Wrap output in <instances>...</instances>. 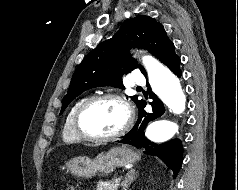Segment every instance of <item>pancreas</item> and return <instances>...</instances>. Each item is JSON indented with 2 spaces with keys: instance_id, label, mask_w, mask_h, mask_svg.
<instances>
[{
  "instance_id": "obj_1",
  "label": "pancreas",
  "mask_w": 238,
  "mask_h": 190,
  "mask_svg": "<svg viewBox=\"0 0 238 190\" xmlns=\"http://www.w3.org/2000/svg\"><path fill=\"white\" fill-rule=\"evenodd\" d=\"M120 185V182L116 183V180L113 181L110 185L97 184L96 190H117Z\"/></svg>"
}]
</instances>
